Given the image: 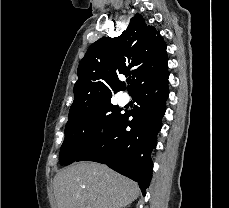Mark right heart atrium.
I'll return each instance as SVG.
<instances>
[{
  "instance_id": "obj_1",
  "label": "right heart atrium",
  "mask_w": 229,
  "mask_h": 208,
  "mask_svg": "<svg viewBox=\"0 0 229 208\" xmlns=\"http://www.w3.org/2000/svg\"><path fill=\"white\" fill-rule=\"evenodd\" d=\"M103 132H104L103 129H102V128H99L98 133H99L100 135H102Z\"/></svg>"
}]
</instances>
